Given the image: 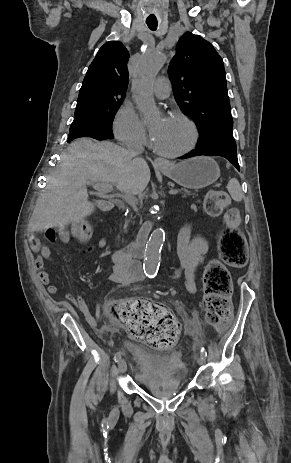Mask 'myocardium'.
I'll list each match as a JSON object with an SVG mask.
<instances>
[{
	"label": "myocardium",
	"instance_id": "obj_1",
	"mask_svg": "<svg viewBox=\"0 0 291 463\" xmlns=\"http://www.w3.org/2000/svg\"><path fill=\"white\" fill-rule=\"evenodd\" d=\"M172 117L179 120L180 122H182L183 124L187 126V128L189 129L190 137H189V141L187 142V144L184 147L176 151L165 152V151L158 149L156 146H154V150L159 155L165 158H176V157H180V156H183L189 153L196 146L198 138H199V132H198L197 125L189 116H187L186 114L182 112H174Z\"/></svg>",
	"mask_w": 291,
	"mask_h": 463
}]
</instances>
